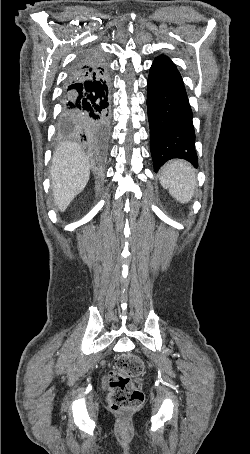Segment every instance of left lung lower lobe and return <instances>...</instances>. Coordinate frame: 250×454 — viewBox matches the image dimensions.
Wrapping results in <instances>:
<instances>
[{"label": "left lung lower lobe", "instance_id": "1", "mask_svg": "<svg viewBox=\"0 0 250 454\" xmlns=\"http://www.w3.org/2000/svg\"><path fill=\"white\" fill-rule=\"evenodd\" d=\"M147 109L155 172L174 158L197 168L192 110L182 77L167 56L157 57L150 68Z\"/></svg>", "mask_w": 250, "mask_h": 454}]
</instances>
